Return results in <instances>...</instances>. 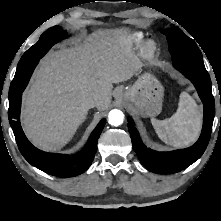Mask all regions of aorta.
Listing matches in <instances>:
<instances>
[{
    "label": "aorta",
    "mask_w": 221,
    "mask_h": 221,
    "mask_svg": "<svg viewBox=\"0 0 221 221\" xmlns=\"http://www.w3.org/2000/svg\"><path fill=\"white\" fill-rule=\"evenodd\" d=\"M124 121V114L121 110L113 109L108 114V122L112 126H119Z\"/></svg>",
    "instance_id": "obj_1"
}]
</instances>
